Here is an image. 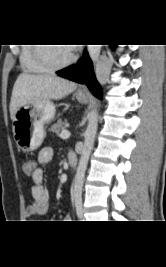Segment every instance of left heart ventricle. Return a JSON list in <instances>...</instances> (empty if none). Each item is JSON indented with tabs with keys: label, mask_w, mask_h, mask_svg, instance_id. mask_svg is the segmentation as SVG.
Segmentation results:
<instances>
[{
	"label": "left heart ventricle",
	"mask_w": 166,
	"mask_h": 267,
	"mask_svg": "<svg viewBox=\"0 0 166 267\" xmlns=\"http://www.w3.org/2000/svg\"><path fill=\"white\" fill-rule=\"evenodd\" d=\"M47 53L49 57L57 63H62L67 61L72 52V49L68 46H60V45H55V46H47L46 47Z\"/></svg>",
	"instance_id": "1"
}]
</instances>
